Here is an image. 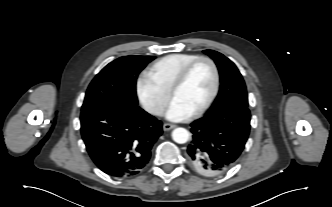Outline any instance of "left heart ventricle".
Masks as SVG:
<instances>
[{"label": "left heart ventricle", "instance_id": "b2bd125f", "mask_svg": "<svg viewBox=\"0 0 332 207\" xmlns=\"http://www.w3.org/2000/svg\"><path fill=\"white\" fill-rule=\"evenodd\" d=\"M213 72L206 62L198 63L188 75L185 83L174 93L178 100L191 112L197 110L208 98L213 87Z\"/></svg>", "mask_w": 332, "mask_h": 207}]
</instances>
